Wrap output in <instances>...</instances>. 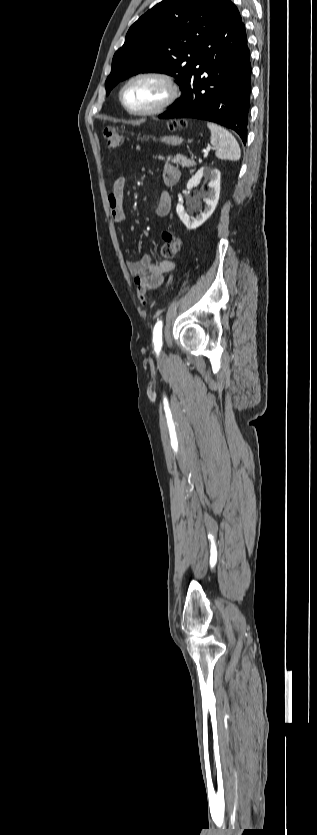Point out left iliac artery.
I'll use <instances>...</instances> for the list:
<instances>
[{"label":"left iliac artery","mask_w":317,"mask_h":835,"mask_svg":"<svg viewBox=\"0 0 317 835\" xmlns=\"http://www.w3.org/2000/svg\"><path fill=\"white\" fill-rule=\"evenodd\" d=\"M154 349L158 354L162 347V321H157L153 330Z\"/></svg>","instance_id":"left-iliac-artery-1"}]
</instances>
